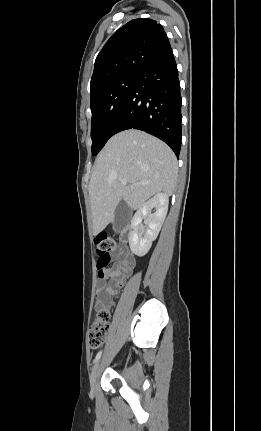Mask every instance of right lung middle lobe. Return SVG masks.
<instances>
[{
    "instance_id": "obj_1",
    "label": "right lung middle lobe",
    "mask_w": 261,
    "mask_h": 431,
    "mask_svg": "<svg viewBox=\"0 0 261 431\" xmlns=\"http://www.w3.org/2000/svg\"><path fill=\"white\" fill-rule=\"evenodd\" d=\"M138 74L124 75L90 92L92 154L113 136V128L134 87Z\"/></svg>"
}]
</instances>
